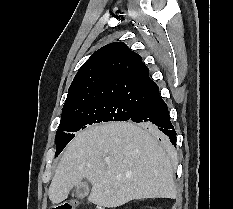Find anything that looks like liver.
I'll list each match as a JSON object with an SVG mask.
<instances>
[{
  "label": "liver",
  "instance_id": "1",
  "mask_svg": "<svg viewBox=\"0 0 233 209\" xmlns=\"http://www.w3.org/2000/svg\"><path fill=\"white\" fill-rule=\"evenodd\" d=\"M155 127L132 122L94 125L69 143L49 187L53 204L63 202L85 178L88 201L116 208L134 199L176 198L171 161Z\"/></svg>",
  "mask_w": 233,
  "mask_h": 209
}]
</instances>
